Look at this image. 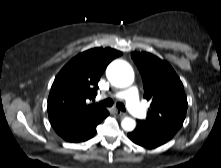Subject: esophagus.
Wrapping results in <instances>:
<instances>
[{
  "instance_id": "obj_1",
  "label": "esophagus",
  "mask_w": 221,
  "mask_h": 168,
  "mask_svg": "<svg viewBox=\"0 0 221 168\" xmlns=\"http://www.w3.org/2000/svg\"><path fill=\"white\" fill-rule=\"evenodd\" d=\"M115 113H116L118 116H121V117L126 116V113L123 112V111H121V110H119V109H115Z\"/></svg>"
}]
</instances>
